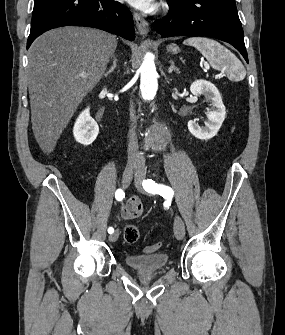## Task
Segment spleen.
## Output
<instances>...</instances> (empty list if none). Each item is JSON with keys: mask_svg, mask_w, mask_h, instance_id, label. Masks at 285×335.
I'll use <instances>...</instances> for the list:
<instances>
[{"mask_svg": "<svg viewBox=\"0 0 285 335\" xmlns=\"http://www.w3.org/2000/svg\"><path fill=\"white\" fill-rule=\"evenodd\" d=\"M183 44L197 48L198 52H201L202 56L207 58L209 64H211L215 70L223 58H227V64L230 60H235V56H233L229 50H226L224 46H221V44H218L215 40H209V38H188V40H184ZM224 54H226V56H224ZM234 68L235 70H241L243 80L246 76V72L238 60H235Z\"/></svg>", "mask_w": 285, "mask_h": 335, "instance_id": "spleen-1", "label": "spleen"}]
</instances>
